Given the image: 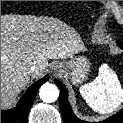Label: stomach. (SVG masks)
Returning <instances> with one entry per match:
<instances>
[{
    "instance_id": "1",
    "label": "stomach",
    "mask_w": 123,
    "mask_h": 123,
    "mask_svg": "<svg viewBox=\"0 0 123 123\" xmlns=\"http://www.w3.org/2000/svg\"><path fill=\"white\" fill-rule=\"evenodd\" d=\"M66 67L70 70L71 82L77 85L86 79L90 64L86 57L78 56L67 62Z\"/></svg>"
}]
</instances>
